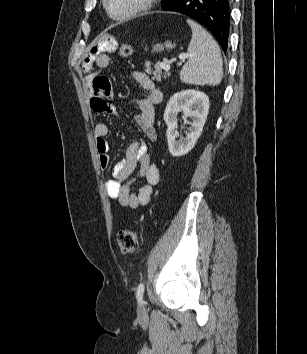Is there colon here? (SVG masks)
I'll return each mask as SVG.
<instances>
[{
	"instance_id": "obj_1",
	"label": "colon",
	"mask_w": 307,
	"mask_h": 354,
	"mask_svg": "<svg viewBox=\"0 0 307 354\" xmlns=\"http://www.w3.org/2000/svg\"><path fill=\"white\" fill-rule=\"evenodd\" d=\"M121 57L127 59L132 55V47L129 44L120 46ZM118 245L125 254L135 253L139 245V235L134 230L120 231L117 236Z\"/></svg>"
}]
</instances>
